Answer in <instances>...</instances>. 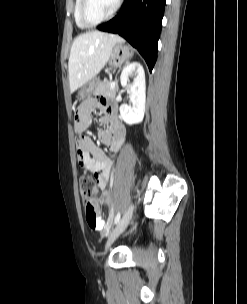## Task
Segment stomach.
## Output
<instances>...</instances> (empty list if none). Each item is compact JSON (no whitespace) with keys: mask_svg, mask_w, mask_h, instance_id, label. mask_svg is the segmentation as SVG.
<instances>
[{"mask_svg":"<svg viewBox=\"0 0 247 304\" xmlns=\"http://www.w3.org/2000/svg\"><path fill=\"white\" fill-rule=\"evenodd\" d=\"M132 55H133V50L131 47L124 45L122 42L117 43V44H115V46L112 50L110 60H109V65L111 67H118L122 63H124L126 60L131 58ZM93 87H94V85L90 84L88 86H84L83 88H81L77 93V99L79 101H82L85 98H87L91 94Z\"/></svg>","mask_w":247,"mask_h":304,"instance_id":"0dacf381","label":"stomach"}]
</instances>
